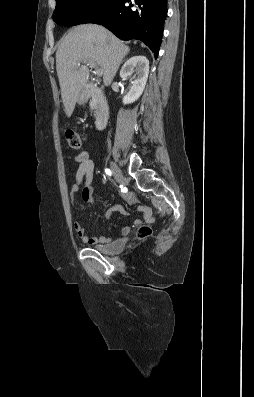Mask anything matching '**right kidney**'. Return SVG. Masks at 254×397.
<instances>
[{
    "instance_id": "obj_1",
    "label": "right kidney",
    "mask_w": 254,
    "mask_h": 397,
    "mask_svg": "<svg viewBox=\"0 0 254 397\" xmlns=\"http://www.w3.org/2000/svg\"><path fill=\"white\" fill-rule=\"evenodd\" d=\"M133 73H136L137 77L132 81L130 91L123 97V104L135 102L144 91L149 74V60L145 56H134L126 61L120 71V77L127 79Z\"/></svg>"
}]
</instances>
